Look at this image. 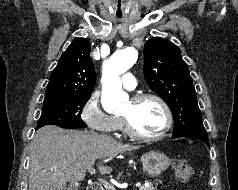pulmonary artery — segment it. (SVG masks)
<instances>
[{
    "instance_id": "e3ab8cb5",
    "label": "pulmonary artery",
    "mask_w": 238,
    "mask_h": 190,
    "mask_svg": "<svg viewBox=\"0 0 238 190\" xmlns=\"http://www.w3.org/2000/svg\"><path fill=\"white\" fill-rule=\"evenodd\" d=\"M122 85L127 90H134L137 86L135 76L130 72L125 73L122 76Z\"/></svg>"
}]
</instances>
